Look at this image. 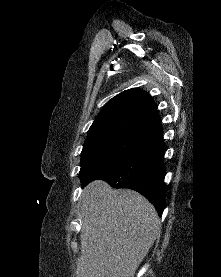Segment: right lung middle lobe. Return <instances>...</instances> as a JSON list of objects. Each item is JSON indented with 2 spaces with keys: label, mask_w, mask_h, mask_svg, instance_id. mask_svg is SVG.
I'll return each instance as SVG.
<instances>
[{
  "label": "right lung middle lobe",
  "mask_w": 221,
  "mask_h": 277,
  "mask_svg": "<svg viewBox=\"0 0 221 277\" xmlns=\"http://www.w3.org/2000/svg\"><path fill=\"white\" fill-rule=\"evenodd\" d=\"M145 137L141 124L105 125L90 129L81 154V181L112 169Z\"/></svg>",
  "instance_id": "dd1d6c3e"
}]
</instances>
